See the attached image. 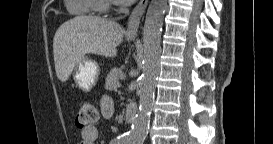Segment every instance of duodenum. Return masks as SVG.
<instances>
[{
    "label": "duodenum",
    "mask_w": 273,
    "mask_h": 144,
    "mask_svg": "<svg viewBox=\"0 0 273 144\" xmlns=\"http://www.w3.org/2000/svg\"><path fill=\"white\" fill-rule=\"evenodd\" d=\"M125 120L127 122H132L137 115V108L133 105H127L125 107Z\"/></svg>",
    "instance_id": "410a0bca"
}]
</instances>
